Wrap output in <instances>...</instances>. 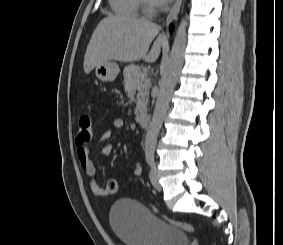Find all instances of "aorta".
<instances>
[{"label": "aorta", "instance_id": "762f6f07", "mask_svg": "<svg viewBox=\"0 0 283 245\" xmlns=\"http://www.w3.org/2000/svg\"><path fill=\"white\" fill-rule=\"evenodd\" d=\"M186 28L187 20L184 18L180 22L177 29L170 57L165 72L160 81V88L155 104V109L151 122L147 128V134L145 138V151H154L155 149L157 137L169 107L173 88L182 69L184 50L186 45Z\"/></svg>", "mask_w": 283, "mask_h": 245}]
</instances>
